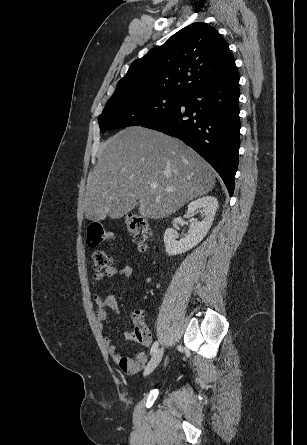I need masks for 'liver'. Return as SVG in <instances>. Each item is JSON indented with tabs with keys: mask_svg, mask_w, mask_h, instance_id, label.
<instances>
[{
	"mask_svg": "<svg viewBox=\"0 0 307 445\" xmlns=\"http://www.w3.org/2000/svg\"><path fill=\"white\" fill-rule=\"evenodd\" d=\"M97 158L86 184L89 220L109 212L120 218L133 202H139L141 216L164 218L188 200L208 194L215 184L212 166L193 148L143 126H127L101 142ZM151 182H157V188H151Z\"/></svg>",
	"mask_w": 307,
	"mask_h": 445,
	"instance_id": "obj_1",
	"label": "liver"
}]
</instances>
